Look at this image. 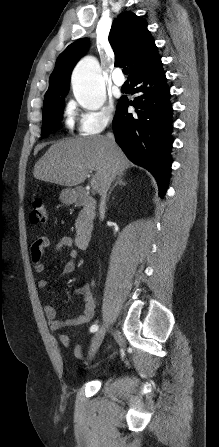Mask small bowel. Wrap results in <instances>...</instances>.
I'll list each match as a JSON object with an SVG mask.
<instances>
[{"instance_id":"small-bowel-1","label":"small bowel","mask_w":219,"mask_h":447,"mask_svg":"<svg viewBox=\"0 0 219 447\" xmlns=\"http://www.w3.org/2000/svg\"><path fill=\"white\" fill-rule=\"evenodd\" d=\"M50 246V240L47 236L38 237L32 244V260L34 265V270L37 273H42L45 271L46 265L42 260L43 252L46 248ZM57 251L68 250V260L62 267L60 273L56 278L58 282L62 277L71 274L75 270V260L78 258V251L73 247V240L71 237H62L55 245ZM47 286V281L45 279H40L37 281V287L40 290L45 289ZM74 293L81 297L84 301L83 313L70 318L65 321L57 319V311L53 306L47 305L44 308L46 319L48 320V325L51 331H58L63 327H78L88 324L94 316L95 313V301L91 292L89 284H83L74 290ZM61 342L65 347H69L71 344L70 337L68 335L60 336ZM74 354L76 357H82V349L80 346L74 348Z\"/></svg>"}]
</instances>
